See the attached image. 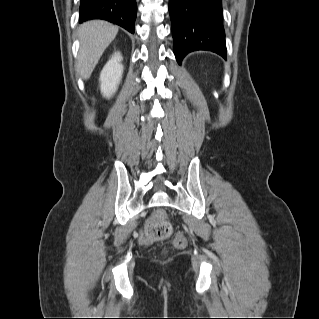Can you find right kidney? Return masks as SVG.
<instances>
[{
	"instance_id": "right-kidney-1",
	"label": "right kidney",
	"mask_w": 319,
	"mask_h": 319,
	"mask_svg": "<svg viewBox=\"0 0 319 319\" xmlns=\"http://www.w3.org/2000/svg\"><path fill=\"white\" fill-rule=\"evenodd\" d=\"M122 56L115 53L106 63L100 74V89L104 97L110 98L118 89L122 79L123 66L120 63Z\"/></svg>"
}]
</instances>
